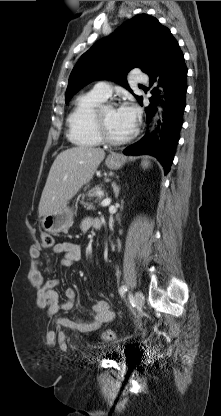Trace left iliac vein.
Returning <instances> with one entry per match:
<instances>
[{
	"label": "left iliac vein",
	"instance_id": "left-iliac-vein-1",
	"mask_svg": "<svg viewBox=\"0 0 221 416\" xmlns=\"http://www.w3.org/2000/svg\"><path fill=\"white\" fill-rule=\"evenodd\" d=\"M134 302L138 307H142L144 305V296L141 291H136L134 294Z\"/></svg>",
	"mask_w": 221,
	"mask_h": 416
}]
</instances>
